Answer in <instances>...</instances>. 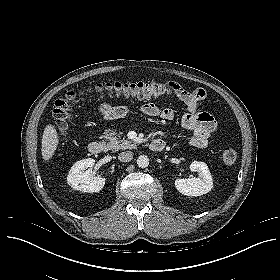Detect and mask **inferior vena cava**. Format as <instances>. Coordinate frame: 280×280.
Returning <instances> with one entry per match:
<instances>
[{
	"label": "inferior vena cava",
	"instance_id": "1",
	"mask_svg": "<svg viewBox=\"0 0 280 280\" xmlns=\"http://www.w3.org/2000/svg\"><path fill=\"white\" fill-rule=\"evenodd\" d=\"M132 158H133V152L131 151L121 152L118 156V159L121 162H129L132 160Z\"/></svg>",
	"mask_w": 280,
	"mask_h": 280
}]
</instances>
